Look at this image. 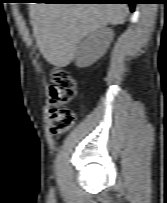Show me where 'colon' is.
I'll list each match as a JSON object with an SVG mask.
<instances>
[{"mask_svg": "<svg viewBox=\"0 0 167 203\" xmlns=\"http://www.w3.org/2000/svg\"><path fill=\"white\" fill-rule=\"evenodd\" d=\"M77 82L71 73L64 68H54L51 73V110L52 132L58 136L66 133L74 122L73 113L65 104L75 98Z\"/></svg>", "mask_w": 167, "mask_h": 203, "instance_id": "colon-1", "label": "colon"}]
</instances>
